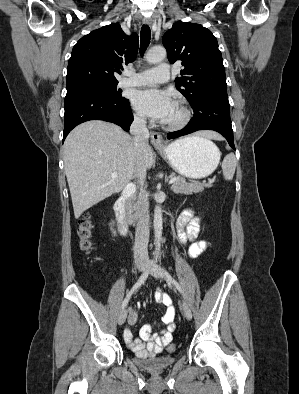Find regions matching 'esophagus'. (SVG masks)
<instances>
[{
  "label": "esophagus",
  "mask_w": 299,
  "mask_h": 394,
  "mask_svg": "<svg viewBox=\"0 0 299 394\" xmlns=\"http://www.w3.org/2000/svg\"><path fill=\"white\" fill-rule=\"evenodd\" d=\"M143 23L145 25H149V26L152 25V21L149 18H145ZM151 143L156 148H163V147H165V143L163 141L162 135L160 133H158V132H154V131L151 132Z\"/></svg>",
  "instance_id": "1"
}]
</instances>
